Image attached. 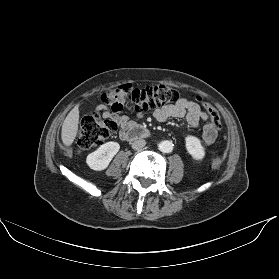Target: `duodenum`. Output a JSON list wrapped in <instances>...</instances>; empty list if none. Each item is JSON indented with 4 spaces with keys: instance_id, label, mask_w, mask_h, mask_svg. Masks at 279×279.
I'll use <instances>...</instances> for the list:
<instances>
[{
    "instance_id": "410a0bca",
    "label": "duodenum",
    "mask_w": 279,
    "mask_h": 279,
    "mask_svg": "<svg viewBox=\"0 0 279 279\" xmlns=\"http://www.w3.org/2000/svg\"><path fill=\"white\" fill-rule=\"evenodd\" d=\"M122 135L124 139L133 141L137 139L149 138L151 136V132L143 126L135 125L124 131Z\"/></svg>"
}]
</instances>
